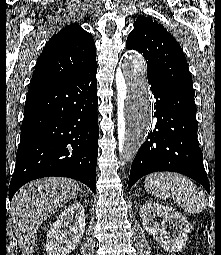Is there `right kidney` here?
<instances>
[{"label":"right kidney","mask_w":221,"mask_h":255,"mask_svg":"<svg viewBox=\"0 0 221 255\" xmlns=\"http://www.w3.org/2000/svg\"><path fill=\"white\" fill-rule=\"evenodd\" d=\"M85 231V210L75 202L59 214L47 232L46 251L49 255H69Z\"/></svg>","instance_id":"right-kidney-1"}]
</instances>
